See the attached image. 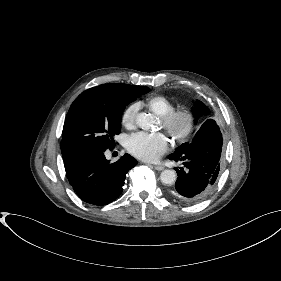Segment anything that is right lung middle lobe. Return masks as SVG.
Returning <instances> with one entry per match:
<instances>
[{
    "mask_svg": "<svg viewBox=\"0 0 281 281\" xmlns=\"http://www.w3.org/2000/svg\"><path fill=\"white\" fill-rule=\"evenodd\" d=\"M150 89L138 86L130 95H113L98 88L81 93L72 103L62 132L64 164L89 151L112 147L114 135L121 130L125 107Z\"/></svg>",
    "mask_w": 281,
    "mask_h": 281,
    "instance_id": "right-lung-middle-lobe-1",
    "label": "right lung middle lobe"
}]
</instances>
